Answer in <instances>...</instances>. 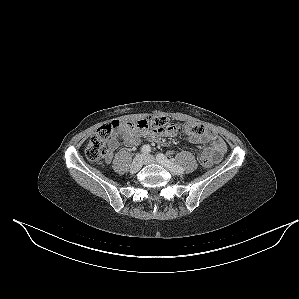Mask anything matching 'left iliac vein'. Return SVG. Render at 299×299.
Instances as JSON below:
<instances>
[{
    "mask_svg": "<svg viewBox=\"0 0 299 299\" xmlns=\"http://www.w3.org/2000/svg\"><path fill=\"white\" fill-rule=\"evenodd\" d=\"M143 157H144V164L158 163V164L164 166L165 168H167L168 170H170L164 163L160 162L152 155H144ZM171 172L173 173V171H171Z\"/></svg>",
    "mask_w": 299,
    "mask_h": 299,
    "instance_id": "4c4485c4",
    "label": "left iliac vein"
}]
</instances>
